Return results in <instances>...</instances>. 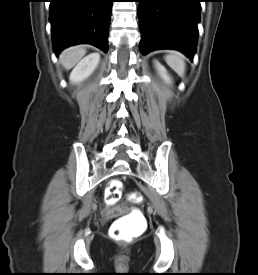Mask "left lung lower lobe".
I'll use <instances>...</instances> for the list:
<instances>
[{
    "label": "left lung lower lobe",
    "instance_id": "1",
    "mask_svg": "<svg viewBox=\"0 0 258 275\" xmlns=\"http://www.w3.org/2000/svg\"><path fill=\"white\" fill-rule=\"evenodd\" d=\"M143 55L174 49L193 59L196 52L200 0H138Z\"/></svg>",
    "mask_w": 258,
    "mask_h": 275
}]
</instances>
